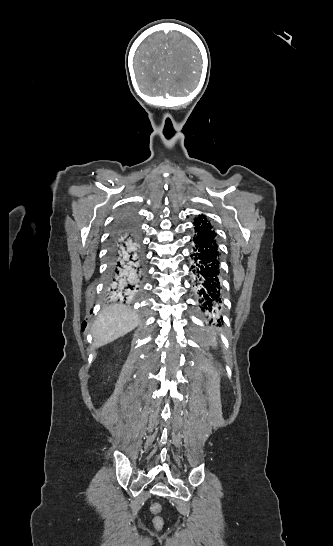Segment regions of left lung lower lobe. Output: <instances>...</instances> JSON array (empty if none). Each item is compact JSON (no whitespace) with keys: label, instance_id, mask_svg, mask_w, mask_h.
I'll return each instance as SVG.
<instances>
[{"label":"left lung lower lobe","instance_id":"obj_1","mask_svg":"<svg viewBox=\"0 0 333 546\" xmlns=\"http://www.w3.org/2000/svg\"><path fill=\"white\" fill-rule=\"evenodd\" d=\"M193 237L194 253L191 254L195 294L200 309L208 316L217 315L221 308L220 262L216 233L204 215L195 218ZM218 322H220L218 320Z\"/></svg>","mask_w":333,"mask_h":546}]
</instances>
